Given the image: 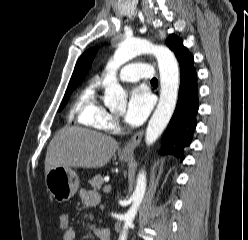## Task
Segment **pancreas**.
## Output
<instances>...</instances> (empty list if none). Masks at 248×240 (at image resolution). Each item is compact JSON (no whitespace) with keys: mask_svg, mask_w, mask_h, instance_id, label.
Instances as JSON below:
<instances>
[{"mask_svg":"<svg viewBox=\"0 0 248 240\" xmlns=\"http://www.w3.org/2000/svg\"><path fill=\"white\" fill-rule=\"evenodd\" d=\"M89 184L94 190H100L103 184V177L101 175H96L91 180H89Z\"/></svg>","mask_w":248,"mask_h":240,"instance_id":"1","label":"pancreas"}]
</instances>
